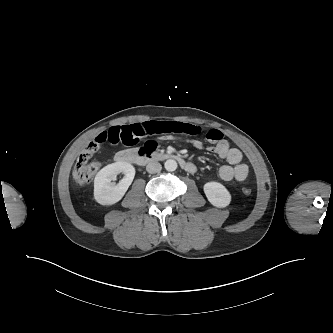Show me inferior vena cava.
Instances as JSON below:
<instances>
[{
	"mask_svg": "<svg viewBox=\"0 0 333 333\" xmlns=\"http://www.w3.org/2000/svg\"><path fill=\"white\" fill-rule=\"evenodd\" d=\"M161 169H162V166L158 162H151L146 166V170L150 174L158 173L161 171Z\"/></svg>",
	"mask_w": 333,
	"mask_h": 333,
	"instance_id": "inferior-vena-cava-1",
	"label": "inferior vena cava"
}]
</instances>
